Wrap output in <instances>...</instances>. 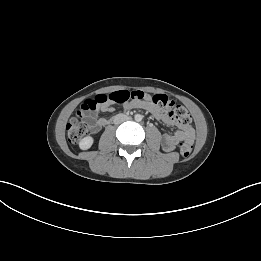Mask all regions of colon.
Wrapping results in <instances>:
<instances>
[{
	"instance_id": "obj_1",
	"label": "colon",
	"mask_w": 261,
	"mask_h": 261,
	"mask_svg": "<svg viewBox=\"0 0 261 261\" xmlns=\"http://www.w3.org/2000/svg\"><path fill=\"white\" fill-rule=\"evenodd\" d=\"M144 102L153 104L161 113H168L171 120L175 123L187 125L191 121L188 110L181 106L175 105L174 102L166 95L157 94L149 95L142 91L121 90L109 95H97L93 98L86 99L80 107L77 114L72 117L67 125L66 132L71 143H78L88 132L89 125L85 118L109 104L121 106L138 105ZM193 152L192 139H186L180 144V153L184 158H189Z\"/></svg>"
}]
</instances>
